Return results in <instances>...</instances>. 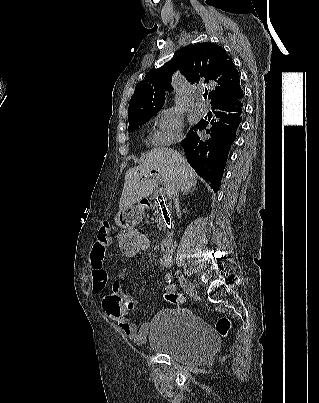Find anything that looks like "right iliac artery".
I'll use <instances>...</instances> for the list:
<instances>
[{
	"label": "right iliac artery",
	"mask_w": 319,
	"mask_h": 403,
	"mask_svg": "<svg viewBox=\"0 0 319 403\" xmlns=\"http://www.w3.org/2000/svg\"><path fill=\"white\" fill-rule=\"evenodd\" d=\"M165 280H166L167 283L170 284L171 288L174 289V285L171 284V282H172V276H171V274H167V275L165 276Z\"/></svg>",
	"instance_id": "obj_1"
}]
</instances>
